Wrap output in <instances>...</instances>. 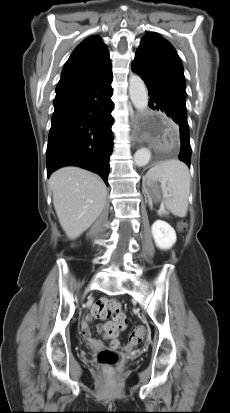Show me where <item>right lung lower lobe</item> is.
I'll return each mask as SVG.
<instances>
[{"label":"right lung lower lobe","instance_id":"98d812e1","mask_svg":"<svg viewBox=\"0 0 230 413\" xmlns=\"http://www.w3.org/2000/svg\"><path fill=\"white\" fill-rule=\"evenodd\" d=\"M112 72L87 85L57 92L47 146V175L75 165L99 174L108 185L113 125Z\"/></svg>","mask_w":230,"mask_h":413}]
</instances>
